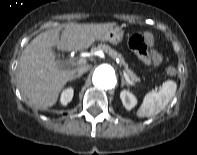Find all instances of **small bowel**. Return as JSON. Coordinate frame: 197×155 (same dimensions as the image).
I'll use <instances>...</instances> for the list:
<instances>
[{
  "label": "small bowel",
  "instance_id": "c3829d8e",
  "mask_svg": "<svg viewBox=\"0 0 197 155\" xmlns=\"http://www.w3.org/2000/svg\"><path fill=\"white\" fill-rule=\"evenodd\" d=\"M148 40L151 41V36L148 35ZM159 58H160V55L159 53L157 52ZM141 59L142 61L145 63V64H151L153 62V59H152V56L151 54L149 53H146V54H141Z\"/></svg>",
  "mask_w": 197,
  "mask_h": 155
}]
</instances>
